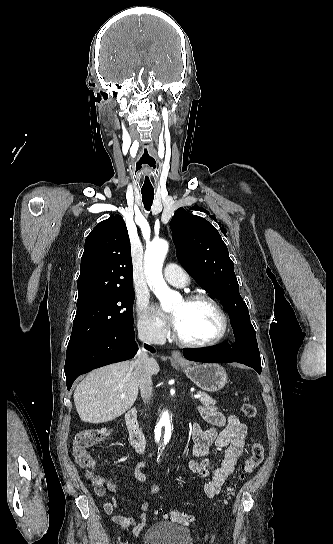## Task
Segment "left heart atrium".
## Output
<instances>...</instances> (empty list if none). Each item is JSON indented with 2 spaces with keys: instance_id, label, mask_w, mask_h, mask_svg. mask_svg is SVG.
Segmentation results:
<instances>
[{
  "instance_id": "obj_1",
  "label": "left heart atrium",
  "mask_w": 333,
  "mask_h": 544,
  "mask_svg": "<svg viewBox=\"0 0 333 544\" xmlns=\"http://www.w3.org/2000/svg\"><path fill=\"white\" fill-rule=\"evenodd\" d=\"M172 323L174 324V326H176L177 324V319L175 316L172 317Z\"/></svg>"
}]
</instances>
